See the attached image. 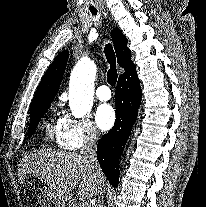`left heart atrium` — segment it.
<instances>
[{"label":"left heart atrium","mask_w":206,"mask_h":207,"mask_svg":"<svg viewBox=\"0 0 206 207\" xmlns=\"http://www.w3.org/2000/svg\"><path fill=\"white\" fill-rule=\"evenodd\" d=\"M115 111L110 105H101L95 113V121L97 126L102 130H109L115 123Z\"/></svg>","instance_id":"39dd6f15"}]
</instances>
